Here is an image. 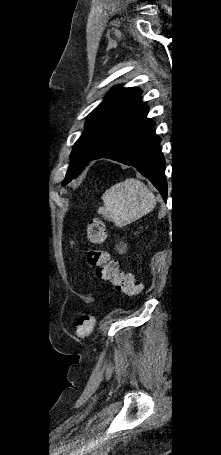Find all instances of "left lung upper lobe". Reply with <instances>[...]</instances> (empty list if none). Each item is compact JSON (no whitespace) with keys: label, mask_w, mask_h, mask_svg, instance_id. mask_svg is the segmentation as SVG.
Segmentation results:
<instances>
[{"label":"left lung upper lobe","mask_w":221,"mask_h":455,"mask_svg":"<svg viewBox=\"0 0 221 455\" xmlns=\"http://www.w3.org/2000/svg\"><path fill=\"white\" fill-rule=\"evenodd\" d=\"M137 88L116 86L89 115L85 131L71 152V166L63 185L76 178L85 165L115 136L147 115Z\"/></svg>","instance_id":"obj_1"}]
</instances>
